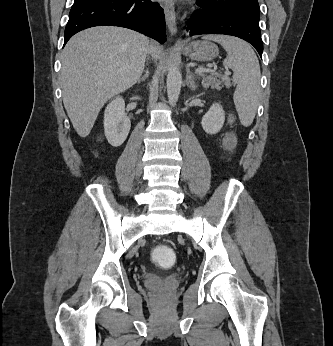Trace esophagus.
<instances>
[{"instance_id": "obj_1", "label": "esophagus", "mask_w": 333, "mask_h": 346, "mask_svg": "<svg viewBox=\"0 0 333 346\" xmlns=\"http://www.w3.org/2000/svg\"><path fill=\"white\" fill-rule=\"evenodd\" d=\"M163 10L165 14L166 23L169 31L172 35L177 34V25H176V15L174 11V5L171 1L167 0L163 4Z\"/></svg>"}]
</instances>
